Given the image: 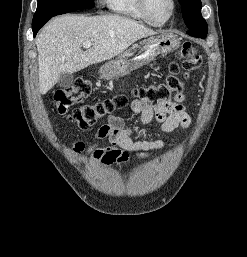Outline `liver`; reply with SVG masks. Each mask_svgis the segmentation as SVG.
I'll use <instances>...</instances> for the list:
<instances>
[{"mask_svg": "<svg viewBox=\"0 0 247 257\" xmlns=\"http://www.w3.org/2000/svg\"><path fill=\"white\" fill-rule=\"evenodd\" d=\"M156 32L118 15H63L48 23L38 35L40 93L46 94L64 72L74 73L124 52L134 42ZM92 47L82 50L83 43Z\"/></svg>", "mask_w": 247, "mask_h": 257, "instance_id": "1", "label": "liver"}]
</instances>
